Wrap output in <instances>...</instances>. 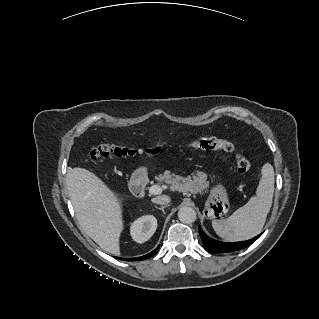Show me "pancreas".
Listing matches in <instances>:
<instances>
[{
    "label": "pancreas",
    "mask_w": 319,
    "mask_h": 319,
    "mask_svg": "<svg viewBox=\"0 0 319 319\" xmlns=\"http://www.w3.org/2000/svg\"><path fill=\"white\" fill-rule=\"evenodd\" d=\"M158 180L171 184L175 190L198 191L208 185L206 176L202 172L194 174L192 179L191 177L183 178L166 171L163 175L158 176Z\"/></svg>",
    "instance_id": "pancreas-1"
}]
</instances>
